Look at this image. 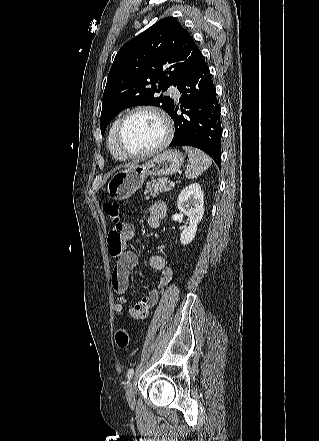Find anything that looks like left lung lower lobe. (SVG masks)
Wrapping results in <instances>:
<instances>
[{
  "mask_svg": "<svg viewBox=\"0 0 319 441\" xmlns=\"http://www.w3.org/2000/svg\"><path fill=\"white\" fill-rule=\"evenodd\" d=\"M182 115L173 106L175 134L170 146H193L206 152L220 166L222 128L220 106L209 67L202 54L177 84Z\"/></svg>",
  "mask_w": 319,
  "mask_h": 441,
  "instance_id": "left-lung-lower-lobe-1",
  "label": "left lung lower lobe"
}]
</instances>
